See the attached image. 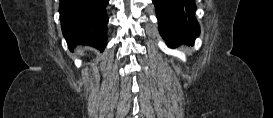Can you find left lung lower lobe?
<instances>
[{
	"instance_id": "obj_1",
	"label": "left lung lower lobe",
	"mask_w": 273,
	"mask_h": 118,
	"mask_svg": "<svg viewBox=\"0 0 273 118\" xmlns=\"http://www.w3.org/2000/svg\"><path fill=\"white\" fill-rule=\"evenodd\" d=\"M159 31L169 46L193 44L198 37L199 24L194 16V0H152Z\"/></svg>"
}]
</instances>
